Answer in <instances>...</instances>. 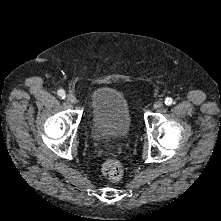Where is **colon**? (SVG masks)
Here are the masks:
<instances>
[{
	"instance_id": "obj_1",
	"label": "colon",
	"mask_w": 221,
	"mask_h": 221,
	"mask_svg": "<svg viewBox=\"0 0 221 221\" xmlns=\"http://www.w3.org/2000/svg\"><path fill=\"white\" fill-rule=\"evenodd\" d=\"M103 174L111 181H119L123 176V167L118 160H107L102 166Z\"/></svg>"
}]
</instances>
